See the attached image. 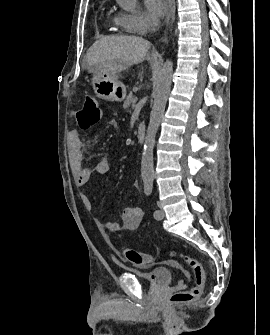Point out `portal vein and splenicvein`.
Segmentation results:
<instances>
[{
    "label": "portal vein and splenic vein",
    "mask_w": 270,
    "mask_h": 335,
    "mask_svg": "<svg viewBox=\"0 0 270 335\" xmlns=\"http://www.w3.org/2000/svg\"><path fill=\"white\" fill-rule=\"evenodd\" d=\"M134 99H135L136 101H139V100L141 99V96H140L139 94H136V95L134 96Z\"/></svg>",
    "instance_id": "obj_1"
}]
</instances>
